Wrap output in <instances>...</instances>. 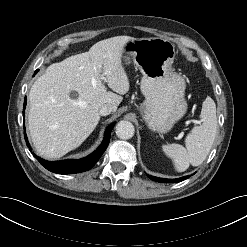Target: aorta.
<instances>
[{"instance_id": "762f6f07", "label": "aorta", "mask_w": 247, "mask_h": 247, "mask_svg": "<svg viewBox=\"0 0 247 247\" xmlns=\"http://www.w3.org/2000/svg\"><path fill=\"white\" fill-rule=\"evenodd\" d=\"M134 125L126 120H122L116 125V135L120 139H130L134 135Z\"/></svg>"}]
</instances>
